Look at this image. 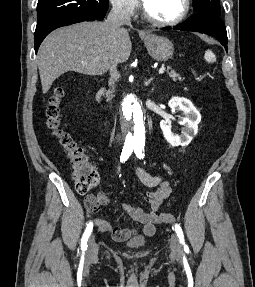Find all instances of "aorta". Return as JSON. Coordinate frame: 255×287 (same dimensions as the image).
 <instances>
[{
	"mask_svg": "<svg viewBox=\"0 0 255 287\" xmlns=\"http://www.w3.org/2000/svg\"><path fill=\"white\" fill-rule=\"evenodd\" d=\"M126 144L131 147L145 145V115L134 95H127L123 103Z\"/></svg>",
	"mask_w": 255,
	"mask_h": 287,
	"instance_id": "obj_1",
	"label": "aorta"
}]
</instances>
